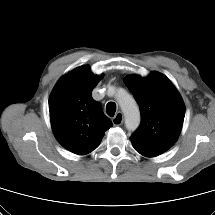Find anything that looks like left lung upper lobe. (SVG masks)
Instances as JSON below:
<instances>
[{"label":"left lung upper lobe","mask_w":215,"mask_h":215,"mask_svg":"<svg viewBox=\"0 0 215 215\" xmlns=\"http://www.w3.org/2000/svg\"><path fill=\"white\" fill-rule=\"evenodd\" d=\"M140 107L141 124L130 140L145 157H156L178 139L185 116L184 102L172 82L159 72L124 79Z\"/></svg>","instance_id":"5c2ea615"}]
</instances>
